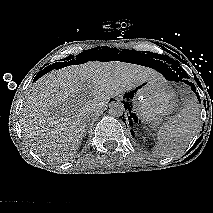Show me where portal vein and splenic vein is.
Masks as SVG:
<instances>
[{"label":"portal vein and splenic vein","mask_w":213,"mask_h":213,"mask_svg":"<svg viewBox=\"0 0 213 213\" xmlns=\"http://www.w3.org/2000/svg\"><path fill=\"white\" fill-rule=\"evenodd\" d=\"M83 96H84V97H86V96H87V93H86V94H84ZM79 101H82V100H79Z\"/></svg>","instance_id":"obj_1"}]
</instances>
